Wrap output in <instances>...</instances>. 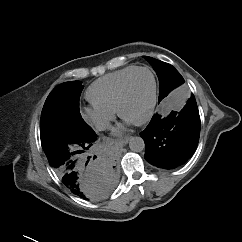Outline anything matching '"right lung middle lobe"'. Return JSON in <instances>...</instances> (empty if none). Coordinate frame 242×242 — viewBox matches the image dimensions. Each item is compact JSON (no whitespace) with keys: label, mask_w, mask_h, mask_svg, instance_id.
I'll return each mask as SVG.
<instances>
[{"label":"right lung middle lobe","mask_w":242,"mask_h":242,"mask_svg":"<svg viewBox=\"0 0 242 242\" xmlns=\"http://www.w3.org/2000/svg\"><path fill=\"white\" fill-rule=\"evenodd\" d=\"M84 86L79 81L58 85L45 101L41 113L40 138L46 153L52 147L90 134L79 111V98Z\"/></svg>","instance_id":"dd1d6c3e"}]
</instances>
